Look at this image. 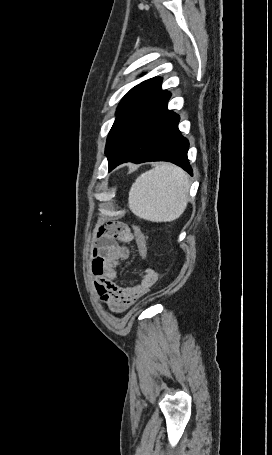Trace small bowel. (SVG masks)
Instances as JSON below:
<instances>
[{
	"label": "small bowel",
	"mask_w": 272,
	"mask_h": 455,
	"mask_svg": "<svg viewBox=\"0 0 272 455\" xmlns=\"http://www.w3.org/2000/svg\"><path fill=\"white\" fill-rule=\"evenodd\" d=\"M133 239L130 229L122 224H105L98 230V245L92 260L95 286L101 300L115 314L127 310L158 280V273L147 268L142 279L136 283L120 285L117 282L116 267L129 254L128 248L118 242L130 243Z\"/></svg>",
	"instance_id": "1"
}]
</instances>
